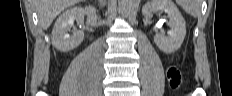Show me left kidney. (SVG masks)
<instances>
[{
  "label": "left kidney",
  "instance_id": "5707ae66",
  "mask_svg": "<svg viewBox=\"0 0 232 96\" xmlns=\"http://www.w3.org/2000/svg\"><path fill=\"white\" fill-rule=\"evenodd\" d=\"M159 11L167 13L171 30L167 36L163 33L157 34L154 41L161 51L170 54L177 51L183 43L186 35V23L172 0H151L142 8V14L149 18L153 13Z\"/></svg>",
  "mask_w": 232,
  "mask_h": 96
}]
</instances>
